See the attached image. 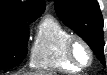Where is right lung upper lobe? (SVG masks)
Masks as SVG:
<instances>
[{
    "label": "right lung upper lobe",
    "mask_w": 107,
    "mask_h": 75,
    "mask_svg": "<svg viewBox=\"0 0 107 75\" xmlns=\"http://www.w3.org/2000/svg\"><path fill=\"white\" fill-rule=\"evenodd\" d=\"M44 10V0H27L24 3L17 0H0V30L13 23L33 22Z\"/></svg>",
    "instance_id": "1"
}]
</instances>
